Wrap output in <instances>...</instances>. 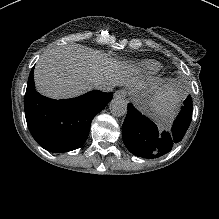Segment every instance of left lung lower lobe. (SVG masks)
I'll list each match as a JSON object with an SVG mask.
<instances>
[{
	"instance_id": "obj_1",
	"label": "left lung lower lobe",
	"mask_w": 219,
	"mask_h": 219,
	"mask_svg": "<svg viewBox=\"0 0 219 219\" xmlns=\"http://www.w3.org/2000/svg\"><path fill=\"white\" fill-rule=\"evenodd\" d=\"M191 115L192 108L183 106L172 130L161 133L149 118L129 103L122 126L123 141L136 156L157 158L168 153L175 143L181 141L191 122Z\"/></svg>"
}]
</instances>
